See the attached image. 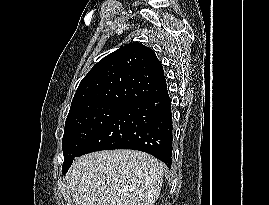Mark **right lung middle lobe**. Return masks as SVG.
<instances>
[{
	"label": "right lung middle lobe",
	"mask_w": 269,
	"mask_h": 205,
	"mask_svg": "<svg viewBox=\"0 0 269 205\" xmlns=\"http://www.w3.org/2000/svg\"><path fill=\"white\" fill-rule=\"evenodd\" d=\"M126 107L128 106L123 104L101 103L83 106L69 112L62 140L63 174H66L73 159L89 140Z\"/></svg>",
	"instance_id": "1"
}]
</instances>
